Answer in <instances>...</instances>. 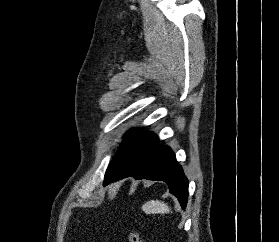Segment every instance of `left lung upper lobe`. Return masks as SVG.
Returning <instances> with one entry per match:
<instances>
[{
	"instance_id": "1",
	"label": "left lung upper lobe",
	"mask_w": 279,
	"mask_h": 242,
	"mask_svg": "<svg viewBox=\"0 0 279 242\" xmlns=\"http://www.w3.org/2000/svg\"><path fill=\"white\" fill-rule=\"evenodd\" d=\"M124 140L107 168L104 186L117 181L133 163L158 143L157 136L152 132L144 133L137 129L128 132Z\"/></svg>"
}]
</instances>
